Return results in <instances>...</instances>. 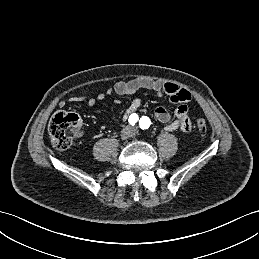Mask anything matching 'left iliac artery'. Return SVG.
Segmentation results:
<instances>
[{"label": "left iliac artery", "instance_id": "1", "mask_svg": "<svg viewBox=\"0 0 259 259\" xmlns=\"http://www.w3.org/2000/svg\"><path fill=\"white\" fill-rule=\"evenodd\" d=\"M151 121L147 116H143L140 121L139 125L141 129H148L150 127Z\"/></svg>", "mask_w": 259, "mask_h": 259}]
</instances>
